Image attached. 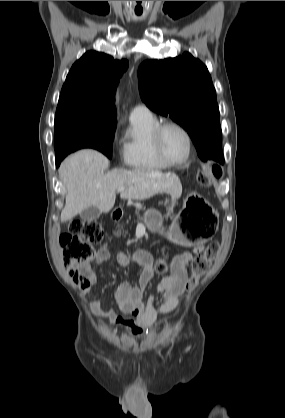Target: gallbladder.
Listing matches in <instances>:
<instances>
[{
	"instance_id": "gallbladder-1",
	"label": "gallbladder",
	"mask_w": 285,
	"mask_h": 418,
	"mask_svg": "<svg viewBox=\"0 0 285 418\" xmlns=\"http://www.w3.org/2000/svg\"><path fill=\"white\" fill-rule=\"evenodd\" d=\"M101 211L96 206L88 207L80 213V217L83 221H91L99 218Z\"/></svg>"
}]
</instances>
